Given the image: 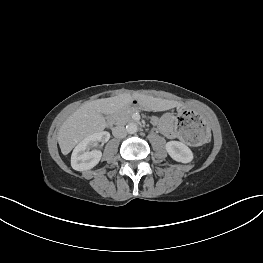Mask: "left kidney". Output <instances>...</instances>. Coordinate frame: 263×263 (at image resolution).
<instances>
[{
  "label": "left kidney",
  "instance_id": "1",
  "mask_svg": "<svg viewBox=\"0 0 263 263\" xmlns=\"http://www.w3.org/2000/svg\"><path fill=\"white\" fill-rule=\"evenodd\" d=\"M166 151L170 157L182 163H189L193 160V153L188 146L179 141H169L166 143Z\"/></svg>",
  "mask_w": 263,
  "mask_h": 263
}]
</instances>
